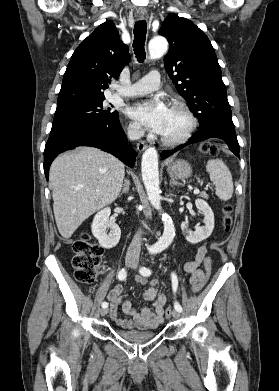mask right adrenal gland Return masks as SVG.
<instances>
[{
    "instance_id": "obj_1",
    "label": "right adrenal gland",
    "mask_w": 279,
    "mask_h": 391,
    "mask_svg": "<svg viewBox=\"0 0 279 391\" xmlns=\"http://www.w3.org/2000/svg\"><path fill=\"white\" fill-rule=\"evenodd\" d=\"M130 181L128 179H125L124 180V185H123V189L121 191V193L119 194V197H121L123 194H126L129 192L130 190Z\"/></svg>"
}]
</instances>
